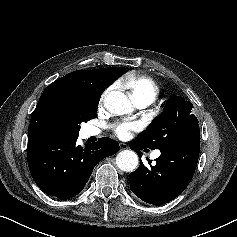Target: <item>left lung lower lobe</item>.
<instances>
[{"instance_id": "0a47b994", "label": "left lung lower lobe", "mask_w": 237, "mask_h": 237, "mask_svg": "<svg viewBox=\"0 0 237 237\" xmlns=\"http://www.w3.org/2000/svg\"><path fill=\"white\" fill-rule=\"evenodd\" d=\"M130 148L141 158V150L146 149L141 142L134 139ZM160 157L155 165L146 167L140 161L139 168L130 173L131 191L141 200L162 205L179 196L190 183L200 152V130L194 128L179 144L170 148L159 149Z\"/></svg>"}]
</instances>
